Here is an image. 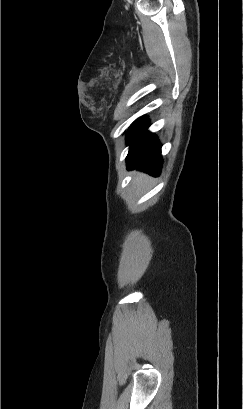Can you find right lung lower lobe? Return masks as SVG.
<instances>
[{
    "mask_svg": "<svg viewBox=\"0 0 243 409\" xmlns=\"http://www.w3.org/2000/svg\"><path fill=\"white\" fill-rule=\"evenodd\" d=\"M148 122L143 116L130 126L127 134L130 149L126 162L129 170L139 169L158 176L162 168L161 144L154 134L147 131Z\"/></svg>",
    "mask_w": 243,
    "mask_h": 409,
    "instance_id": "right-lung-lower-lobe-1",
    "label": "right lung lower lobe"
}]
</instances>
